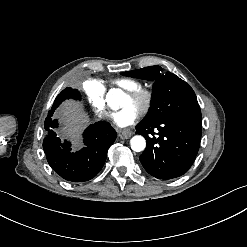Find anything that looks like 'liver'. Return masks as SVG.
Wrapping results in <instances>:
<instances>
[{
    "label": "liver",
    "instance_id": "6515ba94",
    "mask_svg": "<svg viewBox=\"0 0 247 247\" xmlns=\"http://www.w3.org/2000/svg\"><path fill=\"white\" fill-rule=\"evenodd\" d=\"M73 89L80 90L76 86H73ZM54 118L63 126L56 130L62 140L70 141L73 152L79 151L84 146L83 132L91 121L83 102L72 98L63 101L57 106Z\"/></svg>",
    "mask_w": 247,
    "mask_h": 247
}]
</instances>
